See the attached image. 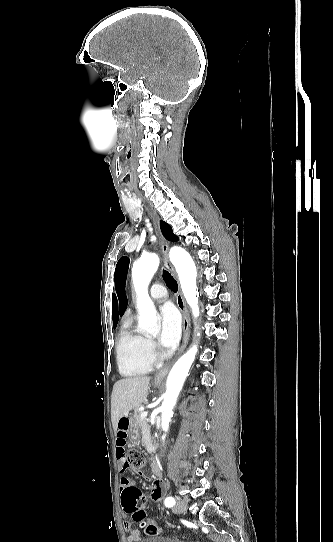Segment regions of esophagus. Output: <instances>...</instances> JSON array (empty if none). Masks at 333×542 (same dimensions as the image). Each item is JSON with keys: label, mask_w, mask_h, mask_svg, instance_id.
<instances>
[{"label": "esophagus", "mask_w": 333, "mask_h": 542, "mask_svg": "<svg viewBox=\"0 0 333 542\" xmlns=\"http://www.w3.org/2000/svg\"><path fill=\"white\" fill-rule=\"evenodd\" d=\"M149 211H150V214H151V216L153 218L154 223L156 224V226H158L159 217H158L156 211L150 205H149ZM161 248H162V253L164 255V266H165V268H167L174 275H176L175 270H174L173 266L171 265V263L169 261V242L167 240H165L164 238H161ZM176 302H177L178 309L180 310V312L183 315V338H182L181 347H180V349H179V351L177 353V356H179L180 354H182V352H184V349L187 346L189 336H190V315H189L188 310L186 309L180 287H179V291H178L177 296H176ZM170 366L171 365L169 364L167 366L161 367L157 371V373L154 376V383L162 382L165 379V377L167 376V374L169 372Z\"/></svg>", "instance_id": "esophagus-1"}]
</instances>
